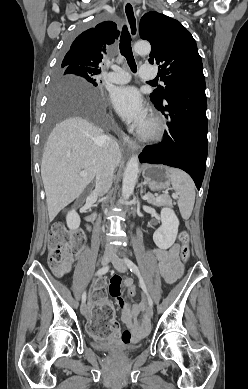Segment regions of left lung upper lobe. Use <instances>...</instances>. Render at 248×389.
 Here are the masks:
<instances>
[{
  "instance_id": "5c2ea615",
  "label": "left lung upper lobe",
  "mask_w": 248,
  "mask_h": 389,
  "mask_svg": "<svg viewBox=\"0 0 248 389\" xmlns=\"http://www.w3.org/2000/svg\"><path fill=\"white\" fill-rule=\"evenodd\" d=\"M139 33L150 42L149 62L159 65L158 76L165 84L150 95L154 104L162 103L180 85L205 81L196 42L179 21L152 11L142 17Z\"/></svg>"
}]
</instances>
